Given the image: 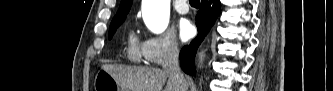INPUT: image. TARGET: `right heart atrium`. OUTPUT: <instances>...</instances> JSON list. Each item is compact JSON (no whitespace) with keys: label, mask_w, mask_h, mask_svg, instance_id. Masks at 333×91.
<instances>
[{"label":"right heart atrium","mask_w":333,"mask_h":91,"mask_svg":"<svg viewBox=\"0 0 333 91\" xmlns=\"http://www.w3.org/2000/svg\"><path fill=\"white\" fill-rule=\"evenodd\" d=\"M143 58L153 65H162L179 54L176 38L170 34L147 36L141 44Z\"/></svg>","instance_id":"obj_1"}]
</instances>
